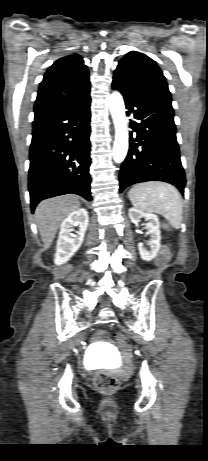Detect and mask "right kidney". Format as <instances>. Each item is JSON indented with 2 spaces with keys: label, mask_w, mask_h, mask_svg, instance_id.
Wrapping results in <instances>:
<instances>
[{
  "label": "right kidney",
  "mask_w": 208,
  "mask_h": 461,
  "mask_svg": "<svg viewBox=\"0 0 208 461\" xmlns=\"http://www.w3.org/2000/svg\"><path fill=\"white\" fill-rule=\"evenodd\" d=\"M88 224V212L84 208L73 211L63 220L60 226L54 258L56 265L66 263L81 247ZM74 226H78V231H75L76 234L72 233Z\"/></svg>",
  "instance_id": "right-kidney-1"
}]
</instances>
